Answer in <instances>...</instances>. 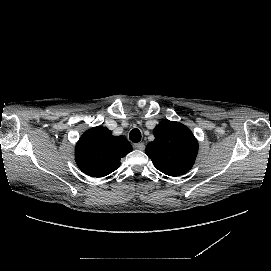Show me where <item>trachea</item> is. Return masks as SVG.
Masks as SVG:
<instances>
[{
	"instance_id": "trachea-1",
	"label": "trachea",
	"mask_w": 271,
	"mask_h": 271,
	"mask_svg": "<svg viewBox=\"0 0 271 271\" xmlns=\"http://www.w3.org/2000/svg\"><path fill=\"white\" fill-rule=\"evenodd\" d=\"M129 138L133 142H139L141 140V132L137 128H134L131 130Z\"/></svg>"
}]
</instances>
